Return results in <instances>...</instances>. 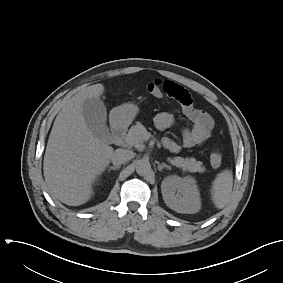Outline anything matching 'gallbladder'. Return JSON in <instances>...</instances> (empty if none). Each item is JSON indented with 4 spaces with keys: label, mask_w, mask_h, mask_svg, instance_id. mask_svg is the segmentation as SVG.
Listing matches in <instances>:
<instances>
[{
    "label": "gallbladder",
    "mask_w": 283,
    "mask_h": 283,
    "mask_svg": "<svg viewBox=\"0 0 283 283\" xmlns=\"http://www.w3.org/2000/svg\"><path fill=\"white\" fill-rule=\"evenodd\" d=\"M82 114L93 135L100 140L110 142L111 136L106 125L107 110L100 98H87L82 105Z\"/></svg>",
    "instance_id": "gallbladder-1"
}]
</instances>
